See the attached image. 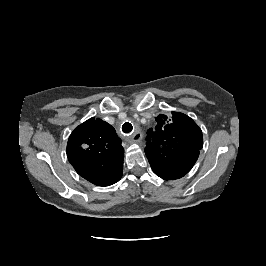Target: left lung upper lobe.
<instances>
[{
	"mask_svg": "<svg viewBox=\"0 0 266 266\" xmlns=\"http://www.w3.org/2000/svg\"><path fill=\"white\" fill-rule=\"evenodd\" d=\"M155 130H148L145 154L153 172L165 180L186 175L198 159L203 135L197 124L187 115L172 112L156 117Z\"/></svg>",
	"mask_w": 266,
	"mask_h": 266,
	"instance_id": "obj_1",
	"label": "left lung upper lobe"
}]
</instances>
